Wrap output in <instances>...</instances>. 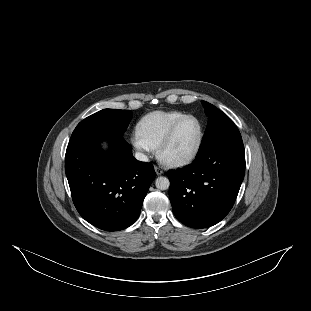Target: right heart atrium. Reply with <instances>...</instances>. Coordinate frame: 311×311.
I'll use <instances>...</instances> for the list:
<instances>
[{
  "label": "right heart atrium",
  "instance_id": "d8ad5b80",
  "mask_svg": "<svg viewBox=\"0 0 311 311\" xmlns=\"http://www.w3.org/2000/svg\"><path fill=\"white\" fill-rule=\"evenodd\" d=\"M130 143L142 159L147 160L153 156L154 149L141 141L136 135L130 138Z\"/></svg>",
  "mask_w": 311,
  "mask_h": 311
}]
</instances>
